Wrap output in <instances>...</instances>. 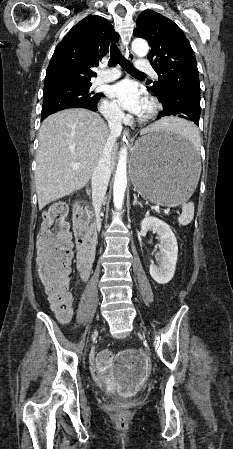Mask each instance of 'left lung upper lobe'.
<instances>
[{
    "instance_id": "obj_1",
    "label": "left lung upper lobe",
    "mask_w": 233,
    "mask_h": 449,
    "mask_svg": "<svg viewBox=\"0 0 233 449\" xmlns=\"http://www.w3.org/2000/svg\"><path fill=\"white\" fill-rule=\"evenodd\" d=\"M136 24L133 34L149 42L151 51L147 58L159 77L149 89L153 93L176 92L200 103L197 63L182 30L152 10L143 11Z\"/></svg>"
}]
</instances>
